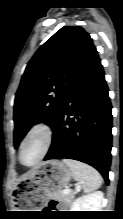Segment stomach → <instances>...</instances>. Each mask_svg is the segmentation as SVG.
Segmentation results:
<instances>
[{
  "label": "stomach",
  "mask_w": 123,
  "mask_h": 219,
  "mask_svg": "<svg viewBox=\"0 0 123 219\" xmlns=\"http://www.w3.org/2000/svg\"><path fill=\"white\" fill-rule=\"evenodd\" d=\"M72 177L71 169L59 160H49L36 167L16 188L15 202L18 211H38L57 193L68 185Z\"/></svg>",
  "instance_id": "stomach-1"
}]
</instances>
